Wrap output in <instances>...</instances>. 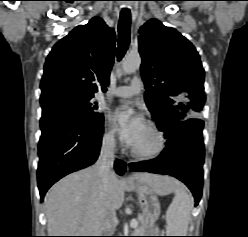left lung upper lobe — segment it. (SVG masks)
Returning a JSON list of instances; mask_svg holds the SVG:
<instances>
[{
    "label": "left lung upper lobe",
    "mask_w": 248,
    "mask_h": 237,
    "mask_svg": "<svg viewBox=\"0 0 248 237\" xmlns=\"http://www.w3.org/2000/svg\"><path fill=\"white\" fill-rule=\"evenodd\" d=\"M145 102L167 138L205 104L204 69L192 43L176 29L151 19L139 30Z\"/></svg>",
    "instance_id": "obj_1"
}]
</instances>
